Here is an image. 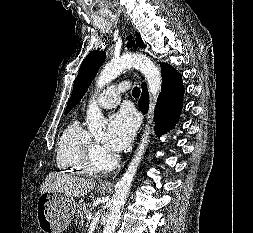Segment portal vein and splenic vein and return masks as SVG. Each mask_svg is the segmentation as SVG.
<instances>
[{
    "label": "portal vein and splenic vein",
    "instance_id": "18ae733b",
    "mask_svg": "<svg viewBox=\"0 0 253 233\" xmlns=\"http://www.w3.org/2000/svg\"><path fill=\"white\" fill-rule=\"evenodd\" d=\"M86 218H87L88 221H90L92 219V214L91 213L87 214Z\"/></svg>",
    "mask_w": 253,
    "mask_h": 233
}]
</instances>
